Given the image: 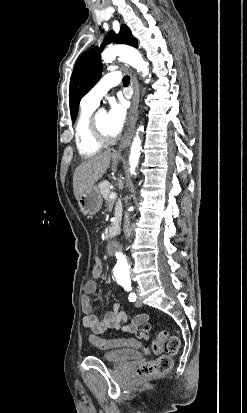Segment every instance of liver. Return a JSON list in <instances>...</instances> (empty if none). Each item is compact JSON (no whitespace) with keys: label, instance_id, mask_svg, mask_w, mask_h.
Listing matches in <instances>:
<instances>
[{"label":"liver","instance_id":"6515ba94","mask_svg":"<svg viewBox=\"0 0 247 413\" xmlns=\"http://www.w3.org/2000/svg\"><path fill=\"white\" fill-rule=\"evenodd\" d=\"M118 158H121V154L117 150H103L98 152L94 156L85 158L77 168H75L73 176V190L75 198H79L81 194L87 192L88 188L94 186L95 182L103 176L107 168H110V160H113V170L116 168Z\"/></svg>","mask_w":247,"mask_h":413}]
</instances>
